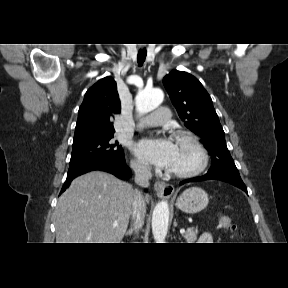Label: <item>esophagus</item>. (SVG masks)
<instances>
[{
    "mask_svg": "<svg viewBox=\"0 0 288 288\" xmlns=\"http://www.w3.org/2000/svg\"><path fill=\"white\" fill-rule=\"evenodd\" d=\"M154 190L160 197H170L174 193V186L163 181L154 184Z\"/></svg>",
    "mask_w": 288,
    "mask_h": 288,
    "instance_id": "1",
    "label": "esophagus"
}]
</instances>
